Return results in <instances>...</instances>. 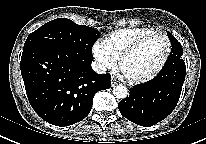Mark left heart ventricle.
<instances>
[{"label":"left heart ventricle","mask_w":206,"mask_h":144,"mask_svg":"<svg viewBox=\"0 0 206 144\" xmlns=\"http://www.w3.org/2000/svg\"><path fill=\"white\" fill-rule=\"evenodd\" d=\"M166 48V42L161 37L149 40L125 60L122 72L130 78H141L151 74L163 60Z\"/></svg>","instance_id":"b2bd125f"}]
</instances>
